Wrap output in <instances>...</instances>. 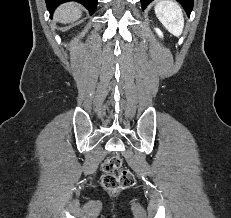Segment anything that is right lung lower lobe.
<instances>
[{"label": "right lung lower lobe", "mask_w": 231, "mask_h": 218, "mask_svg": "<svg viewBox=\"0 0 231 218\" xmlns=\"http://www.w3.org/2000/svg\"><path fill=\"white\" fill-rule=\"evenodd\" d=\"M47 4V8L52 14L54 12V9L60 5L61 3L68 2V1H76L81 4H83L90 12V14H93L96 9L97 0H45Z\"/></svg>", "instance_id": "obj_1"}]
</instances>
